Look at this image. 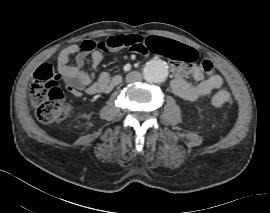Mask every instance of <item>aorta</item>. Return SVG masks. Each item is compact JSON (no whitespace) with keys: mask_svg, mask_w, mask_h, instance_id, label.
<instances>
[{"mask_svg":"<svg viewBox=\"0 0 270 213\" xmlns=\"http://www.w3.org/2000/svg\"><path fill=\"white\" fill-rule=\"evenodd\" d=\"M143 73L148 82L161 83L166 79L168 69L164 62L153 60L145 65Z\"/></svg>","mask_w":270,"mask_h":213,"instance_id":"obj_1","label":"aorta"}]
</instances>
